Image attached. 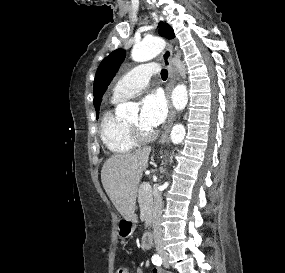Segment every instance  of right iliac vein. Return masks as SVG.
<instances>
[{
    "instance_id": "right-iliac-vein-1",
    "label": "right iliac vein",
    "mask_w": 285,
    "mask_h": 273,
    "mask_svg": "<svg viewBox=\"0 0 285 273\" xmlns=\"http://www.w3.org/2000/svg\"><path fill=\"white\" fill-rule=\"evenodd\" d=\"M163 258H164L165 260H167L168 257H167V255H163Z\"/></svg>"
}]
</instances>
